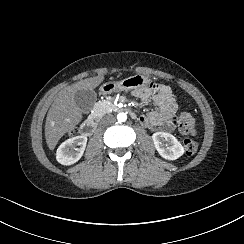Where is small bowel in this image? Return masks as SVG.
Masks as SVG:
<instances>
[{
    "label": "small bowel",
    "mask_w": 244,
    "mask_h": 244,
    "mask_svg": "<svg viewBox=\"0 0 244 244\" xmlns=\"http://www.w3.org/2000/svg\"><path fill=\"white\" fill-rule=\"evenodd\" d=\"M130 92L141 102L150 103L156 108L155 111L149 113L137 114L136 120L142 126L154 127L161 131H169L174 127L178 104L168 86L156 83Z\"/></svg>",
    "instance_id": "1"
}]
</instances>
